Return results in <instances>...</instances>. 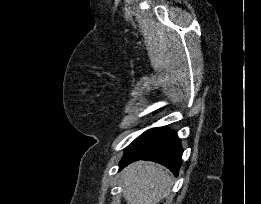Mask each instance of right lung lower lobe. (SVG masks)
Instances as JSON below:
<instances>
[{"mask_svg": "<svg viewBox=\"0 0 261 204\" xmlns=\"http://www.w3.org/2000/svg\"><path fill=\"white\" fill-rule=\"evenodd\" d=\"M183 149L175 131L158 127L144 132L125 150L120 170L137 160H149L164 165L176 176L182 162Z\"/></svg>", "mask_w": 261, "mask_h": 204, "instance_id": "obj_1", "label": "right lung lower lobe"}]
</instances>
